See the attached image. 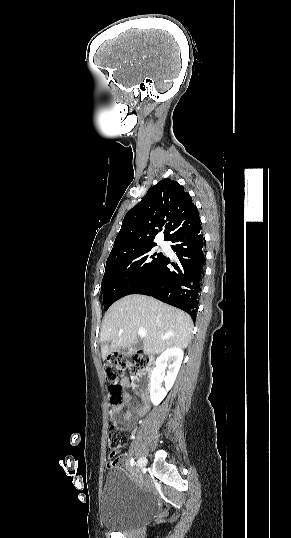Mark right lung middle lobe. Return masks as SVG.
<instances>
[{"label":"right lung middle lobe","mask_w":291,"mask_h":538,"mask_svg":"<svg viewBox=\"0 0 291 538\" xmlns=\"http://www.w3.org/2000/svg\"><path fill=\"white\" fill-rule=\"evenodd\" d=\"M154 246L107 259L101 284L105 310L118 299L131 294L161 260L163 255L153 252Z\"/></svg>","instance_id":"obj_1"}]
</instances>
